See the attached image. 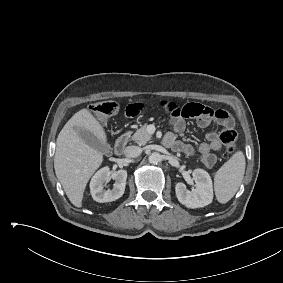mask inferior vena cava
<instances>
[{"mask_svg": "<svg viewBox=\"0 0 283 283\" xmlns=\"http://www.w3.org/2000/svg\"><path fill=\"white\" fill-rule=\"evenodd\" d=\"M141 153L142 149L138 146H128L124 151V155L128 158L138 157Z\"/></svg>", "mask_w": 283, "mask_h": 283, "instance_id": "602c4592", "label": "inferior vena cava"}]
</instances>
